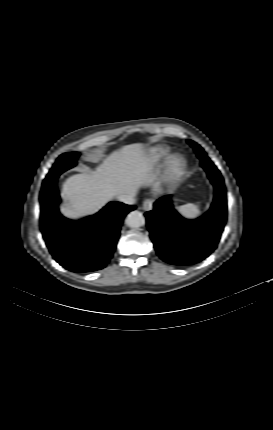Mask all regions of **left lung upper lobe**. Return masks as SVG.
Wrapping results in <instances>:
<instances>
[{
  "label": "left lung upper lobe",
  "mask_w": 273,
  "mask_h": 430,
  "mask_svg": "<svg viewBox=\"0 0 273 430\" xmlns=\"http://www.w3.org/2000/svg\"><path fill=\"white\" fill-rule=\"evenodd\" d=\"M187 142L194 148L197 156L201 159V161H204L208 158L206 152L203 150V148L200 145H198L196 142L192 140H187Z\"/></svg>",
  "instance_id": "5c2ea615"
}]
</instances>
